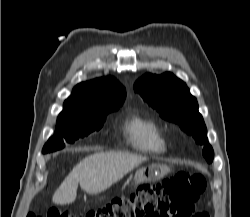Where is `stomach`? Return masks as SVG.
Here are the masks:
<instances>
[{"mask_svg":"<svg viewBox=\"0 0 250 217\" xmlns=\"http://www.w3.org/2000/svg\"><path fill=\"white\" fill-rule=\"evenodd\" d=\"M169 172L165 164H151L137 170L134 181L135 183L153 182L163 178Z\"/></svg>","mask_w":250,"mask_h":217,"instance_id":"1","label":"stomach"}]
</instances>
